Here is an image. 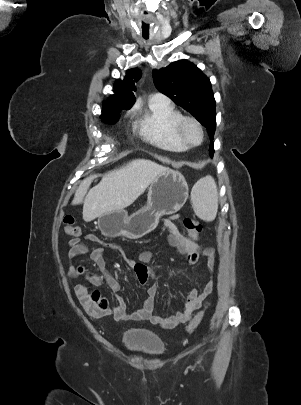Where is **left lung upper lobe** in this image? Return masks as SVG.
<instances>
[{
	"instance_id": "left-lung-upper-lobe-1",
	"label": "left lung upper lobe",
	"mask_w": 301,
	"mask_h": 405,
	"mask_svg": "<svg viewBox=\"0 0 301 405\" xmlns=\"http://www.w3.org/2000/svg\"><path fill=\"white\" fill-rule=\"evenodd\" d=\"M157 89L189 111L207 127L211 139L210 153H214L213 136L216 128L215 99L211 83L196 65L179 60L166 68L153 70Z\"/></svg>"
}]
</instances>
